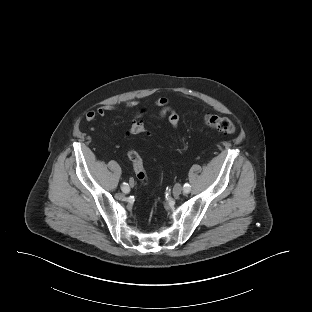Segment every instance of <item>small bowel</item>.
Returning <instances> with one entry per match:
<instances>
[{
  "label": "small bowel",
  "mask_w": 312,
  "mask_h": 312,
  "mask_svg": "<svg viewBox=\"0 0 312 312\" xmlns=\"http://www.w3.org/2000/svg\"><path fill=\"white\" fill-rule=\"evenodd\" d=\"M138 105L135 100H128L124 103L126 108H133ZM155 105L159 108L156 113L150 111L149 108H142L137 113L138 117L144 115H150L157 119L167 118L173 127H177L180 121L179 113L169 106V101L166 97H160L155 100ZM117 108L114 105H102L96 110L88 111L85 115V119L88 122H93L98 117H105L108 113L116 111Z\"/></svg>",
  "instance_id": "1"
}]
</instances>
